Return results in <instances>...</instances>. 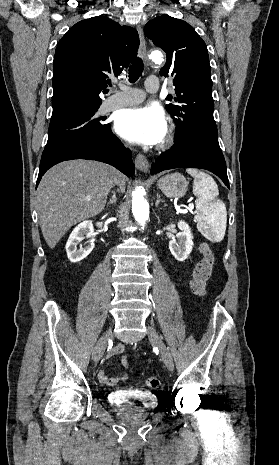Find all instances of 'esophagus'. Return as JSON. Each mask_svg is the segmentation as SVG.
<instances>
[{
  "label": "esophagus",
  "mask_w": 279,
  "mask_h": 465,
  "mask_svg": "<svg viewBox=\"0 0 279 465\" xmlns=\"http://www.w3.org/2000/svg\"><path fill=\"white\" fill-rule=\"evenodd\" d=\"M137 31H138L139 40H140L139 54H140L141 58L145 62H147L148 58H147V52H146V43H145V38H144V35H143V31H142L140 26H137ZM135 166H136V168L138 170H140L142 172H147L149 170V161L144 155L138 154L136 156V158H135Z\"/></svg>",
  "instance_id": "obj_1"
}]
</instances>
